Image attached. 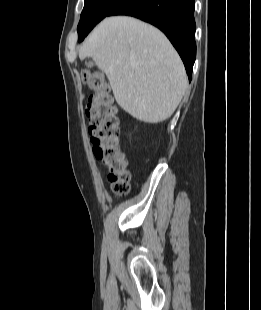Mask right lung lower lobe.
Instances as JSON below:
<instances>
[{
	"label": "right lung lower lobe",
	"instance_id": "obj_1",
	"mask_svg": "<svg viewBox=\"0 0 261 310\" xmlns=\"http://www.w3.org/2000/svg\"><path fill=\"white\" fill-rule=\"evenodd\" d=\"M194 8V0H124L108 16H134L158 27L178 51L191 81L196 58Z\"/></svg>",
	"mask_w": 261,
	"mask_h": 310
}]
</instances>
